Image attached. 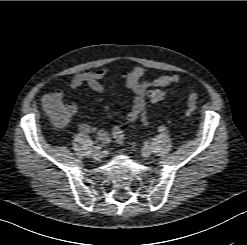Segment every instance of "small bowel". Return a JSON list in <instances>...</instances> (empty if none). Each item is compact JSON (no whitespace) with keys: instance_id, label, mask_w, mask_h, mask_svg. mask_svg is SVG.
Wrapping results in <instances>:
<instances>
[{"instance_id":"1","label":"small bowel","mask_w":247,"mask_h":245,"mask_svg":"<svg viewBox=\"0 0 247 245\" xmlns=\"http://www.w3.org/2000/svg\"><path fill=\"white\" fill-rule=\"evenodd\" d=\"M112 73L114 72L109 68H99L94 71H81L76 73L71 78L69 86L75 89L86 84L94 92L105 93L107 88L103 83V80ZM152 73L153 71L150 68L141 66L135 67L129 71L120 70L118 72L125 86L132 92L133 95L132 105L127 113V119L129 121L140 120L145 126L150 124L146 107L147 90L151 87H166L180 81V76L178 74L161 75L152 80H143V77ZM55 102L64 103V92L60 89L46 94L42 100L45 109ZM65 105L68 111V120L66 122L68 123L77 114L78 106L75 103H66ZM78 131L81 134H96L97 139L105 145L108 144L111 139L106 130L88 123H81L78 126Z\"/></svg>"}]
</instances>
